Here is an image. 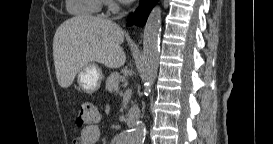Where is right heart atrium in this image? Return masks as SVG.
<instances>
[{
    "label": "right heart atrium",
    "mask_w": 273,
    "mask_h": 144,
    "mask_svg": "<svg viewBox=\"0 0 273 144\" xmlns=\"http://www.w3.org/2000/svg\"><path fill=\"white\" fill-rule=\"evenodd\" d=\"M107 6H108L109 10L112 12H115L117 10L116 5L111 1H107Z\"/></svg>",
    "instance_id": "right-heart-atrium-1"
}]
</instances>
